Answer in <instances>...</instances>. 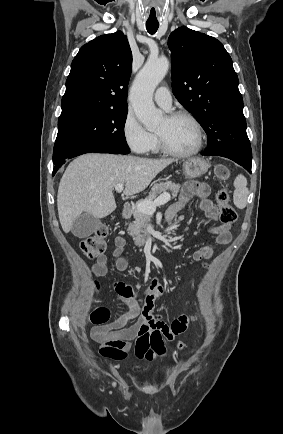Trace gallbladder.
I'll use <instances>...</instances> for the list:
<instances>
[{
  "instance_id": "1",
  "label": "gallbladder",
  "mask_w": 283,
  "mask_h": 434,
  "mask_svg": "<svg viewBox=\"0 0 283 434\" xmlns=\"http://www.w3.org/2000/svg\"><path fill=\"white\" fill-rule=\"evenodd\" d=\"M101 221L88 213L81 214L72 226V233L78 238H85L96 232L100 226Z\"/></svg>"
}]
</instances>
